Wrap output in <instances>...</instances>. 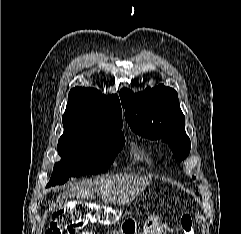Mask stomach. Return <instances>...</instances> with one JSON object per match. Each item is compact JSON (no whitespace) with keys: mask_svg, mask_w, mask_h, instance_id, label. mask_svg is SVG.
Instances as JSON below:
<instances>
[{"mask_svg":"<svg viewBox=\"0 0 241 234\" xmlns=\"http://www.w3.org/2000/svg\"><path fill=\"white\" fill-rule=\"evenodd\" d=\"M137 223L132 219H127L123 222L121 226L122 234L129 233V231H133L132 233L136 234L137 231ZM144 232L143 234H162L161 227L158 222V219L155 217L149 218L145 221L143 225Z\"/></svg>","mask_w":241,"mask_h":234,"instance_id":"0dacf381","label":"stomach"}]
</instances>
